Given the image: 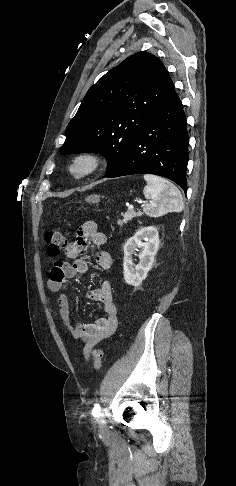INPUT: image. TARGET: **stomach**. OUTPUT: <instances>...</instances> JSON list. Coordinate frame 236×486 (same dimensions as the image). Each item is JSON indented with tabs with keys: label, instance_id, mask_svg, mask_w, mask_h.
<instances>
[{
	"label": "stomach",
	"instance_id": "obj_1",
	"mask_svg": "<svg viewBox=\"0 0 236 486\" xmlns=\"http://www.w3.org/2000/svg\"><path fill=\"white\" fill-rule=\"evenodd\" d=\"M85 201L90 203V204H97L100 201V196L89 195L88 197H86Z\"/></svg>",
	"mask_w": 236,
	"mask_h": 486
}]
</instances>
